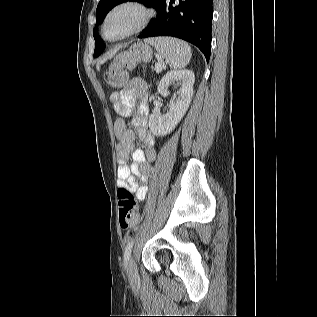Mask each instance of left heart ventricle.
Listing matches in <instances>:
<instances>
[{
    "mask_svg": "<svg viewBox=\"0 0 317 317\" xmlns=\"http://www.w3.org/2000/svg\"><path fill=\"white\" fill-rule=\"evenodd\" d=\"M139 18L138 11L125 8L117 11L107 22L106 35L109 38L117 37L129 30Z\"/></svg>",
    "mask_w": 317,
    "mask_h": 317,
    "instance_id": "b2bd125f",
    "label": "left heart ventricle"
}]
</instances>
